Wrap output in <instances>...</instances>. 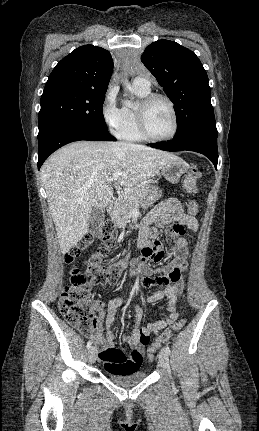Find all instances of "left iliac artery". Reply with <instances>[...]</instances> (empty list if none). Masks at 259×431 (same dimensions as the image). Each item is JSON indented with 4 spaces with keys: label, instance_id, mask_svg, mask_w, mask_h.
<instances>
[{
    "label": "left iliac artery",
    "instance_id": "left-iliac-artery-1",
    "mask_svg": "<svg viewBox=\"0 0 259 431\" xmlns=\"http://www.w3.org/2000/svg\"><path fill=\"white\" fill-rule=\"evenodd\" d=\"M164 350L166 351L167 354H170V348L167 345L164 347Z\"/></svg>",
    "mask_w": 259,
    "mask_h": 431
}]
</instances>
